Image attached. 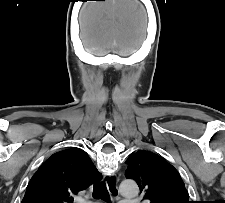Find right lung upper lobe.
Segmentation results:
<instances>
[{
  "mask_svg": "<svg viewBox=\"0 0 225 203\" xmlns=\"http://www.w3.org/2000/svg\"><path fill=\"white\" fill-rule=\"evenodd\" d=\"M87 153L80 148L59 151L31 178L22 203H73V196L100 180Z\"/></svg>",
  "mask_w": 225,
  "mask_h": 203,
  "instance_id": "right-lung-upper-lobe-1",
  "label": "right lung upper lobe"
}]
</instances>
